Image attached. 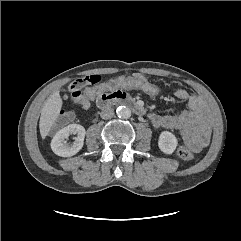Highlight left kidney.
<instances>
[{"label":"left kidney","instance_id":"5707ae66","mask_svg":"<svg viewBox=\"0 0 241 241\" xmlns=\"http://www.w3.org/2000/svg\"><path fill=\"white\" fill-rule=\"evenodd\" d=\"M178 141L174 134L169 131L161 132L158 140L159 149L165 154H172L176 147Z\"/></svg>","mask_w":241,"mask_h":241}]
</instances>
